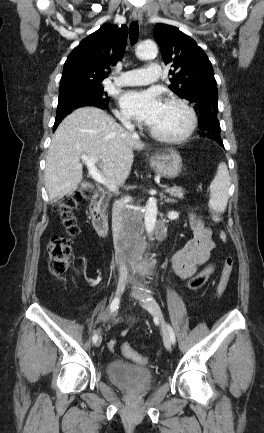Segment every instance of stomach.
Here are the masks:
<instances>
[{
    "label": "stomach",
    "instance_id": "stomach-1",
    "mask_svg": "<svg viewBox=\"0 0 264 433\" xmlns=\"http://www.w3.org/2000/svg\"><path fill=\"white\" fill-rule=\"evenodd\" d=\"M151 168L165 178L171 179L179 175L182 170V159L177 151H166L150 160Z\"/></svg>",
    "mask_w": 264,
    "mask_h": 433
}]
</instances>
